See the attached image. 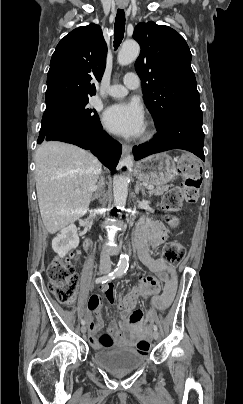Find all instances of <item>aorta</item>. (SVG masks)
Returning a JSON list of instances; mask_svg holds the SVG:
<instances>
[{
	"mask_svg": "<svg viewBox=\"0 0 243 404\" xmlns=\"http://www.w3.org/2000/svg\"><path fill=\"white\" fill-rule=\"evenodd\" d=\"M140 54V46L134 40H126L124 44L121 46V50L117 56L118 64L120 66H128V64H132L136 58H138ZM133 166V156H126L124 160L119 161L118 165L115 167V174L113 180V196H114V204L117 209L118 217H123V210L126 206V200L128 196V184L130 182V169ZM128 266V258L127 256H121L118 264V272L119 270H123L125 272Z\"/></svg>",
	"mask_w": 243,
	"mask_h": 404,
	"instance_id": "obj_1",
	"label": "aorta"
}]
</instances>
